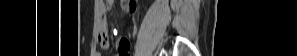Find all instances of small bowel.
Wrapping results in <instances>:
<instances>
[{"instance_id": "1", "label": "small bowel", "mask_w": 297, "mask_h": 56, "mask_svg": "<svg viewBox=\"0 0 297 56\" xmlns=\"http://www.w3.org/2000/svg\"><path fill=\"white\" fill-rule=\"evenodd\" d=\"M113 5V0H105L100 2V11L101 18L98 30V42L102 49H108L110 47V38H109V30L107 25L106 13L111 9ZM121 6L123 9H129L131 12L135 10L134 3H130L127 1H121ZM116 48L118 51L117 56H129L128 50L130 48L129 41L122 37L117 40ZM96 56H101V53L97 52Z\"/></svg>"}]
</instances>
